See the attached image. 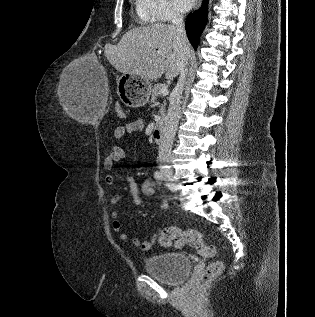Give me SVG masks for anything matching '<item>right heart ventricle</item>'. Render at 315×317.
<instances>
[{
    "mask_svg": "<svg viewBox=\"0 0 315 317\" xmlns=\"http://www.w3.org/2000/svg\"><path fill=\"white\" fill-rule=\"evenodd\" d=\"M135 10H136V19L140 24L146 25L154 21L151 18V16L148 14V12L146 11L142 0H136Z\"/></svg>",
    "mask_w": 315,
    "mask_h": 317,
    "instance_id": "1",
    "label": "right heart ventricle"
}]
</instances>
